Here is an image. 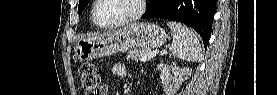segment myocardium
<instances>
[{"mask_svg":"<svg viewBox=\"0 0 277 95\" xmlns=\"http://www.w3.org/2000/svg\"><path fill=\"white\" fill-rule=\"evenodd\" d=\"M101 1L102 0H96L91 9V17L93 22L101 28H114L121 25L129 24L139 19L145 11V0H133L137 5V9L133 15L110 23H102L96 17V9Z\"/></svg>","mask_w":277,"mask_h":95,"instance_id":"1","label":"myocardium"}]
</instances>
